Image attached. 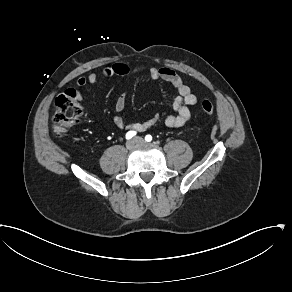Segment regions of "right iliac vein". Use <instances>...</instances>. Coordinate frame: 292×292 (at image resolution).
<instances>
[{
	"label": "right iliac vein",
	"mask_w": 292,
	"mask_h": 292,
	"mask_svg": "<svg viewBox=\"0 0 292 292\" xmlns=\"http://www.w3.org/2000/svg\"><path fill=\"white\" fill-rule=\"evenodd\" d=\"M136 144H137V141H136V139L134 138V139H132V140L127 141V143H126V148H127L128 150H132V149L135 147Z\"/></svg>",
	"instance_id": "obj_1"
}]
</instances>
